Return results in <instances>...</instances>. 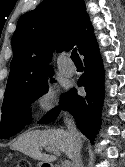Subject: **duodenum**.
<instances>
[{"mask_svg":"<svg viewBox=\"0 0 125 167\" xmlns=\"http://www.w3.org/2000/svg\"><path fill=\"white\" fill-rule=\"evenodd\" d=\"M42 167H53V166H51V165H49V164H43Z\"/></svg>","mask_w":125,"mask_h":167,"instance_id":"1","label":"duodenum"}]
</instances>
